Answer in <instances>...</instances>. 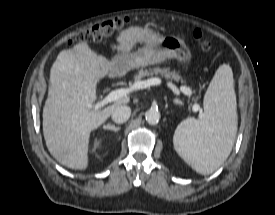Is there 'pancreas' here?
Here are the masks:
<instances>
[{"label":"pancreas","instance_id":"obj_1","mask_svg":"<svg viewBox=\"0 0 275 215\" xmlns=\"http://www.w3.org/2000/svg\"><path fill=\"white\" fill-rule=\"evenodd\" d=\"M153 75H160L161 77L165 78L166 80H173V81H181L184 83L185 81L182 79V77L179 75L176 71H170L169 68H154L150 70H143L141 69L135 76L134 80L135 82H140L144 77L153 76Z\"/></svg>","mask_w":275,"mask_h":215}]
</instances>
